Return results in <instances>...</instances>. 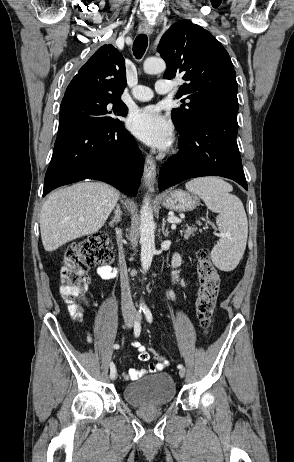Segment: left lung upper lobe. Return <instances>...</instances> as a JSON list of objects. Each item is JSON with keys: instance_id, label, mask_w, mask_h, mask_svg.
<instances>
[{"instance_id": "5c2ea615", "label": "left lung upper lobe", "mask_w": 294, "mask_h": 462, "mask_svg": "<svg viewBox=\"0 0 294 462\" xmlns=\"http://www.w3.org/2000/svg\"><path fill=\"white\" fill-rule=\"evenodd\" d=\"M158 52L167 63L164 78L181 74L185 80L176 98L190 102L172 110L179 133L190 130L212 108L238 107V84L232 61L211 33L187 20L176 22L162 36Z\"/></svg>"}]
</instances>
